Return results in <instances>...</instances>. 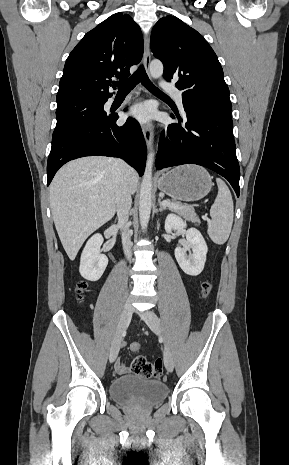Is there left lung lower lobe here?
Wrapping results in <instances>:
<instances>
[{"mask_svg": "<svg viewBox=\"0 0 289 465\" xmlns=\"http://www.w3.org/2000/svg\"><path fill=\"white\" fill-rule=\"evenodd\" d=\"M182 97L187 115L185 126L173 123L163 129L156 168L188 163L207 167L225 177L239 197L240 169L230 111L209 108ZM176 117L183 121L179 114Z\"/></svg>", "mask_w": 289, "mask_h": 465, "instance_id": "obj_1", "label": "left lung lower lobe"}]
</instances>
